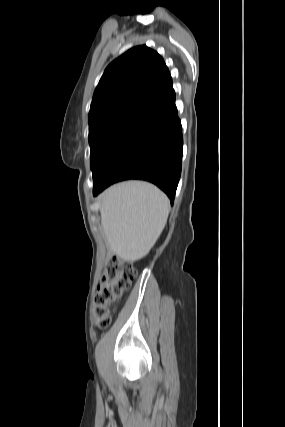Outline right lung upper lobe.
Returning a JSON list of instances; mask_svg holds the SVG:
<instances>
[{"mask_svg":"<svg viewBox=\"0 0 285 427\" xmlns=\"http://www.w3.org/2000/svg\"><path fill=\"white\" fill-rule=\"evenodd\" d=\"M172 89L163 58L147 46L134 47L106 68L95 89L89 123L122 111H145Z\"/></svg>","mask_w":285,"mask_h":427,"instance_id":"1","label":"right lung upper lobe"}]
</instances>
